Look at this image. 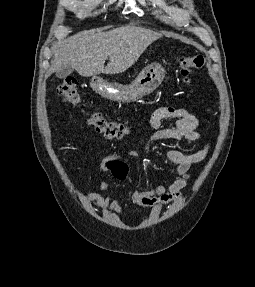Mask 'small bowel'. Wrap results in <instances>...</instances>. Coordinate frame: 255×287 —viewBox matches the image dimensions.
<instances>
[{"label": "small bowel", "instance_id": "small-bowel-1", "mask_svg": "<svg viewBox=\"0 0 255 287\" xmlns=\"http://www.w3.org/2000/svg\"><path fill=\"white\" fill-rule=\"evenodd\" d=\"M166 119H175V126L172 128L162 127ZM150 125L154 133L146 143L145 151L149 153L152 145L160 140H181L199 141L202 139L198 132V119L183 108L172 106L161 107L155 110L150 118ZM209 152V145L205 144L200 150L186 154L179 150H165L163 154L173 164L177 178L167 186L159 185L149 190L135 191L132 194V201L138 205L151 208V216L156 217L163 206L176 201L186 187L188 172L193 164L200 163L206 159ZM131 157L137 156L134 151L128 152ZM101 172L112 174L117 180L123 181L128 175V166L120 160L119 155H113L104 159L100 166ZM100 187L105 194L98 192H85V200L101 212L112 211L116 214L122 212L117 198L108 195V185L101 181Z\"/></svg>", "mask_w": 255, "mask_h": 287}]
</instances>
